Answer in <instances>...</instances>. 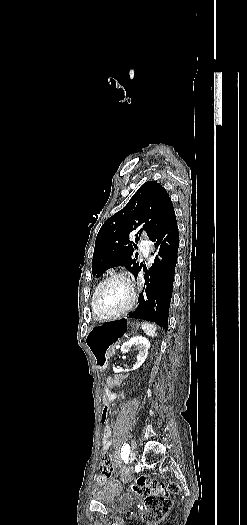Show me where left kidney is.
Returning a JSON list of instances; mask_svg holds the SVG:
<instances>
[{
	"label": "left kidney",
	"instance_id": "5707ae66",
	"mask_svg": "<svg viewBox=\"0 0 247 525\" xmlns=\"http://www.w3.org/2000/svg\"><path fill=\"white\" fill-rule=\"evenodd\" d=\"M131 347H138L139 349L137 363L133 367V369H139V367L143 365L145 359H147L148 349H150V343L149 341H147V339H145V337H132V339H129V341L123 343L121 347L122 353H128ZM114 371H117V369H114Z\"/></svg>",
	"mask_w": 247,
	"mask_h": 525
}]
</instances>
